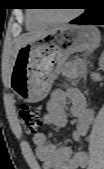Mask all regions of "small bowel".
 Instances as JSON below:
<instances>
[{
    "instance_id": "obj_1",
    "label": "small bowel",
    "mask_w": 104,
    "mask_h": 169,
    "mask_svg": "<svg viewBox=\"0 0 104 169\" xmlns=\"http://www.w3.org/2000/svg\"><path fill=\"white\" fill-rule=\"evenodd\" d=\"M68 99L71 101L70 113L77 119L72 137L74 141L82 142L93 121L94 112L87 107L84 95L77 88L53 91L47 102L43 122L49 126L65 127L68 123L66 114ZM33 143L36 146L37 158L43 163V169H82L88 163L86 152H73L66 145L49 143L43 133L34 135Z\"/></svg>"
}]
</instances>
